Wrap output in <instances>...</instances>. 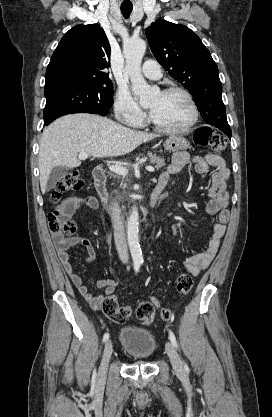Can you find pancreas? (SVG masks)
Instances as JSON below:
<instances>
[{"mask_svg": "<svg viewBox=\"0 0 272 417\" xmlns=\"http://www.w3.org/2000/svg\"><path fill=\"white\" fill-rule=\"evenodd\" d=\"M147 157L150 163L155 164L157 169H161L166 165L164 158L153 155L151 152H148Z\"/></svg>", "mask_w": 272, "mask_h": 417, "instance_id": "cf45deb5", "label": "pancreas"}]
</instances>
